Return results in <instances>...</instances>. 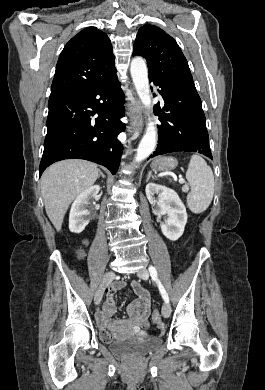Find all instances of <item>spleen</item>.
<instances>
[{
  "label": "spleen",
  "instance_id": "obj_1",
  "mask_svg": "<svg viewBox=\"0 0 265 390\" xmlns=\"http://www.w3.org/2000/svg\"><path fill=\"white\" fill-rule=\"evenodd\" d=\"M186 179L191 186V191L187 195L189 209L195 214L204 212L214 195L215 184L211 167L201 156L194 154L188 165Z\"/></svg>",
  "mask_w": 265,
  "mask_h": 390
}]
</instances>
